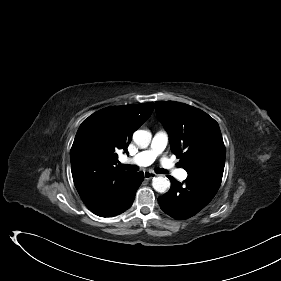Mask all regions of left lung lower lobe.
Returning a JSON list of instances; mask_svg holds the SVG:
<instances>
[{
  "instance_id": "left-lung-lower-lobe-1",
  "label": "left lung lower lobe",
  "mask_w": 281,
  "mask_h": 281,
  "mask_svg": "<svg viewBox=\"0 0 281 281\" xmlns=\"http://www.w3.org/2000/svg\"><path fill=\"white\" fill-rule=\"evenodd\" d=\"M170 190L158 198V203L166 214L184 220L201 211L216 195L220 186L198 176H189L185 183L173 177Z\"/></svg>"
}]
</instances>
